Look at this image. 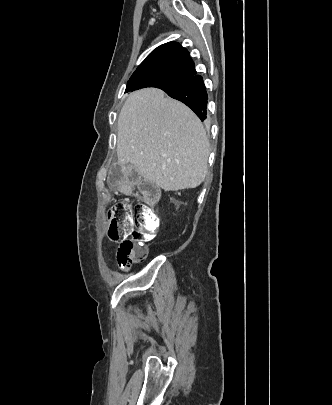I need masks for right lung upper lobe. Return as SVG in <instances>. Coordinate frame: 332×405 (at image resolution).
<instances>
[{
  "label": "right lung upper lobe",
  "instance_id": "right-lung-upper-lobe-1",
  "mask_svg": "<svg viewBox=\"0 0 332 405\" xmlns=\"http://www.w3.org/2000/svg\"><path fill=\"white\" fill-rule=\"evenodd\" d=\"M146 71H159L180 76L183 79L196 74L195 65L189 52L176 42L165 43L154 49L135 72Z\"/></svg>",
  "mask_w": 332,
  "mask_h": 405
}]
</instances>
